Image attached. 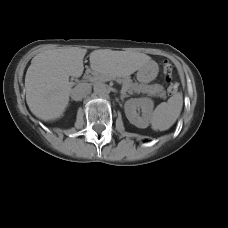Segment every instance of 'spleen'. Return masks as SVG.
I'll list each match as a JSON object with an SVG mask.
<instances>
[{
	"label": "spleen",
	"mask_w": 228,
	"mask_h": 228,
	"mask_svg": "<svg viewBox=\"0 0 228 228\" xmlns=\"http://www.w3.org/2000/svg\"><path fill=\"white\" fill-rule=\"evenodd\" d=\"M183 106L182 93H176L167 102L160 103L152 112L150 123L153 130L169 129L180 116Z\"/></svg>",
	"instance_id": "obj_1"
}]
</instances>
